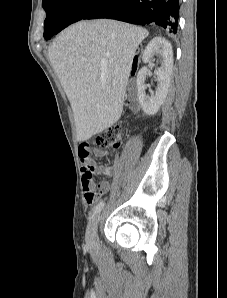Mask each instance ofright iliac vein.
I'll list each match as a JSON object with an SVG mask.
<instances>
[{
    "label": "right iliac vein",
    "instance_id": "63e3f726",
    "mask_svg": "<svg viewBox=\"0 0 227 298\" xmlns=\"http://www.w3.org/2000/svg\"><path fill=\"white\" fill-rule=\"evenodd\" d=\"M99 220H100V215L93 217L89 221L87 230H86V235H85L86 243L92 249H95L98 245L97 229H98Z\"/></svg>",
    "mask_w": 227,
    "mask_h": 298
}]
</instances>
